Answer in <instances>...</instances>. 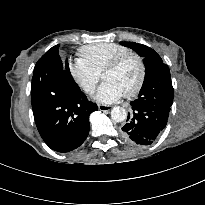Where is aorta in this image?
I'll list each match as a JSON object with an SVG mask.
<instances>
[{
    "mask_svg": "<svg viewBox=\"0 0 205 205\" xmlns=\"http://www.w3.org/2000/svg\"><path fill=\"white\" fill-rule=\"evenodd\" d=\"M111 118L115 122H123L127 118V111L123 107L116 106L111 110Z\"/></svg>",
    "mask_w": 205,
    "mask_h": 205,
    "instance_id": "aorta-1",
    "label": "aorta"
}]
</instances>
